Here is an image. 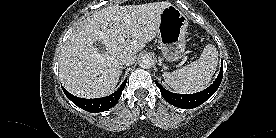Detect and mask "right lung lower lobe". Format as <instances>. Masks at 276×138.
<instances>
[{"mask_svg": "<svg viewBox=\"0 0 276 138\" xmlns=\"http://www.w3.org/2000/svg\"><path fill=\"white\" fill-rule=\"evenodd\" d=\"M127 79L122 83V85L119 87L117 91L112 93L109 96L103 97V98H96V99H83L76 97L72 94H70L63 86V92L65 95L78 107L84 109L85 111L97 113V112H103L107 111L108 109L114 107L118 100L120 99V96L122 94L123 89L126 86Z\"/></svg>", "mask_w": 276, "mask_h": 138, "instance_id": "right-lung-lower-lobe-1", "label": "right lung lower lobe"}]
</instances>
